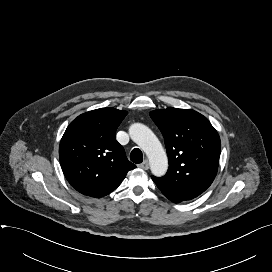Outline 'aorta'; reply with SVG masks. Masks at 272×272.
I'll list each match as a JSON object with an SVG mask.
<instances>
[{
    "label": "aorta",
    "mask_w": 272,
    "mask_h": 272,
    "mask_svg": "<svg viewBox=\"0 0 272 272\" xmlns=\"http://www.w3.org/2000/svg\"><path fill=\"white\" fill-rule=\"evenodd\" d=\"M131 139L146 153L153 175L163 176L168 168V159L156 135L144 124L134 123L129 128Z\"/></svg>",
    "instance_id": "aorta-1"
}]
</instances>
